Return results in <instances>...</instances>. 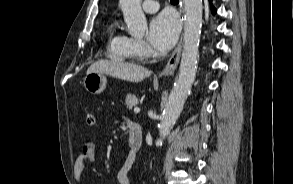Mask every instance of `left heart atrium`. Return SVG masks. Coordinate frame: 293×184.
<instances>
[{"mask_svg":"<svg viewBox=\"0 0 293 184\" xmlns=\"http://www.w3.org/2000/svg\"><path fill=\"white\" fill-rule=\"evenodd\" d=\"M179 30L178 18L171 12H162L150 22L149 42L156 50L167 51L176 42Z\"/></svg>","mask_w":293,"mask_h":184,"instance_id":"1","label":"left heart atrium"}]
</instances>
